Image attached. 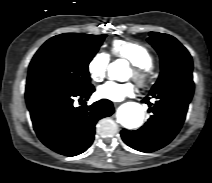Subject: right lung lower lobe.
Segmentation results:
<instances>
[{
    "label": "right lung lower lobe",
    "mask_w": 212,
    "mask_h": 183,
    "mask_svg": "<svg viewBox=\"0 0 212 183\" xmlns=\"http://www.w3.org/2000/svg\"><path fill=\"white\" fill-rule=\"evenodd\" d=\"M94 90L92 84L83 89L42 83L26 85V103L34 130L48 148L76 156L91 146L97 121L114 112L112 102L106 99L74 107L75 97L88 100Z\"/></svg>",
    "instance_id": "right-lung-lower-lobe-1"
}]
</instances>
